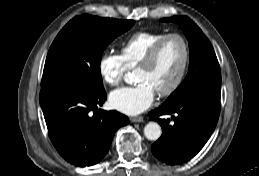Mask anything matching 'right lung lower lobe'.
I'll use <instances>...</instances> for the list:
<instances>
[{
    "mask_svg": "<svg viewBox=\"0 0 259 176\" xmlns=\"http://www.w3.org/2000/svg\"><path fill=\"white\" fill-rule=\"evenodd\" d=\"M106 98L104 88L41 89L39 100L50 139L69 163L79 167L98 163L108 152L116 130L129 123L117 111L97 110Z\"/></svg>",
    "mask_w": 259,
    "mask_h": 176,
    "instance_id": "right-lung-lower-lobe-1",
    "label": "right lung lower lobe"
}]
</instances>
